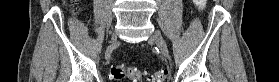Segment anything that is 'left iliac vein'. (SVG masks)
Returning a JSON list of instances; mask_svg holds the SVG:
<instances>
[{
	"mask_svg": "<svg viewBox=\"0 0 279 82\" xmlns=\"http://www.w3.org/2000/svg\"><path fill=\"white\" fill-rule=\"evenodd\" d=\"M151 38L154 40V42L156 43V45L159 47L162 55L164 57H168V49H167V45L165 43V40L163 39V37L161 36V34L159 32H154L151 36Z\"/></svg>",
	"mask_w": 279,
	"mask_h": 82,
	"instance_id": "1",
	"label": "left iliac vein"
}]
</instances>
